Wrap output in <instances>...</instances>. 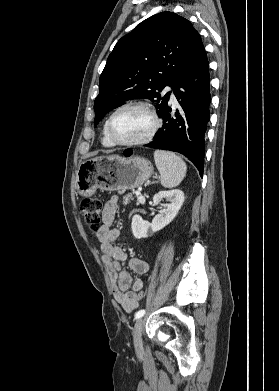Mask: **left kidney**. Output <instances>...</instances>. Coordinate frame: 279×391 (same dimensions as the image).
Instances as JSON below:
<instances>
[{"mask_svg": "<svg viewBox=\"0 0 279 391\" xmlns=\"http://www.w3.org/2000/svg\"><path fill=\"white\" fill-rule=\"evenodd\" d=\"M184 193L179 189L160 191L153 197L155 205H161L165 200V208L159 211L152 223L142 219L140 215H134L132 218L131 229L135 238H147L154 232H157L167 226L177 215L184 202Z\"/></svg>", "mask_w": 279, "mask_h": 391, "instance_id": "1", "label": "left kidney"}]
</instances>
